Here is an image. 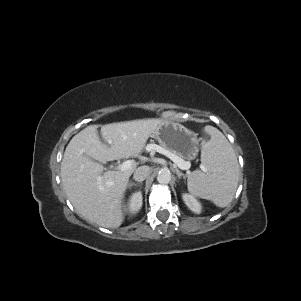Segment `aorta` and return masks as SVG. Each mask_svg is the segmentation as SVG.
Instances as JSON below:
<instances>
[{
  "label": "aorta",
  "instance_id": "aorta-1",
  "mask_svg": "<svg viewBox=\"0 0 301 301\" xmlns=\"http://www.w3.org/2000/svg\"><path fill=\"white\" fill-rule=\"evenodd\" d=\"M157 181L160 184H168L171 181V172L169 169L164 168L158 172Z\"/></svg>",
  "mask_w": 301,
  "mask_h": 301
}]
</instances>
